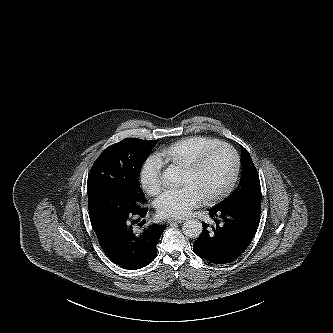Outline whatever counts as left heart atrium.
<instances>
[{
	"mask_svg": "<svg viewBox=\"0 0 333 333\" xmlns=\"http://www.w3.org/2000/svg\"><path fill=\"white\" fill-rule=\"evenodd\" d=\"M203 200L202 195L194 187L183 185L165 190L156 199L155 204L157 212L162 217L181 218L198 207Z\"/></svg>",
	"mask_w": 333,
	"mask_h": 333,
	"instance_id": "1",
	"label": "left heart atrium"
}]
</instances>
